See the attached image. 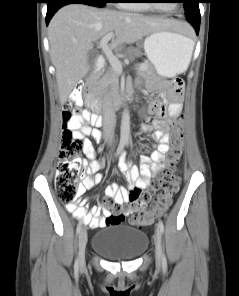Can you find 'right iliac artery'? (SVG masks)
I'll return each instance as SVG.
<instances>
[{"instance_id": "82829eb1", "label": "right iliac artery", "mask_w": 239, "mask_h": 296, "mask_svg": "<svg viewBox=\"0 0 239 296\" xmlns=\"http://www.w3.org/2000/svg\"><path fill=\"white\" fill-rule=\"evenodd\" d=\"M123 149H124V144H119L116 156H118ZM81 229H82V223H79L78 226H77V233L78 234L80 233ZM74 269H75V271L79 270V261H78V259H76V261H75Z\"/></svg>"}]
</instances>
